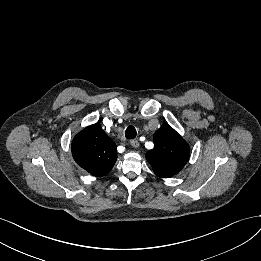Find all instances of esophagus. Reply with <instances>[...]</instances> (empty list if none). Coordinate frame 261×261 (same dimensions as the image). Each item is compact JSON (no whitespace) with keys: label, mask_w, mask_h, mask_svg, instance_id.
Listing matches in <instances>:
<instances>
[{"label":"esophagus","mask_w":261,"mask_h":261,"mask_svg":"<svg viewBox=\"0 0 261 261\" xmlns=\"http://www.w3.org/2000/svg\"><path fill=\"white\" fill-rule=\"evenodd\" d=\"M130 145H131L132 147H134V148H137V147H139V142H138L137 140H132V141L130 142Z\"/></svg>","instance_id":"1"}]
</instances>
